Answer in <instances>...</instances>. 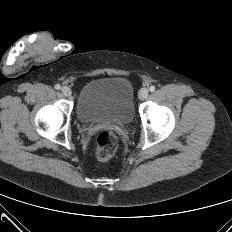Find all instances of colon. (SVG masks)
<instances>
[{
	"mask_svg": "<svg viewBox=\"0 0 232 232\" xmlns=\"http://www.w3.org/2000/svg\"><path fill=\"white\" fill-rule=\"evenodd\" d=\"M118 148L116 135L109 131L103 130L98 133L96 138V157L100 161H106L114 156Z\"/></svg>",
	"mask_w": 232,
	"mask_h": 232,
	"instance_id": "obj_1",
	"label": "colon"
}]
</instances>
